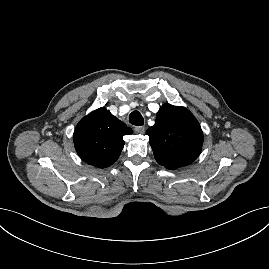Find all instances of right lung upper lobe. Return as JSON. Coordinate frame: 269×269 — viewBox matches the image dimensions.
Instances as JSON below:
<instances>
[{"mask_svg":"<svg viewBox=\"0 0 269 269\" xmlns=\"http://www.w3.org/2000/svg\"><path fill=\"white\" fill-rule=\"evenodd\" d=\"M133 131L105 107L85 116L76 126L73 141L79 157L99 168L112 165L124 147V135Z\"/></svg>","mask_w":269,"mask_h":269,"instance_id":"cb5924a9","label":"right lung upper lobe"}]
</instances>
